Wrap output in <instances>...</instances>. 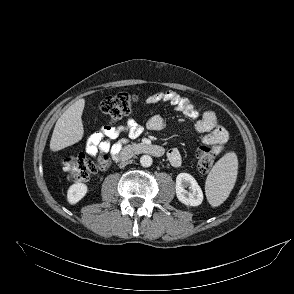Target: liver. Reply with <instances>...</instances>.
Listing matches in <instances>:
<instances>
[{
  "mask_svg": "<svg viewBox=\"0 0 294 294\" xmlns=\"http://www.w3.org/2000/svg\"><path fill=\"white\" fill-rule=\"evenodd\" d=\"M85 100L72 104L57 120L50 140V149L59 151L79 142L84 135L82 113Z\"/></svg>",
  "mask_w": 294,
  "mask_h": 294,
  "instance_id": "liver-1",
  "label": "liver"
}]
</instances>
